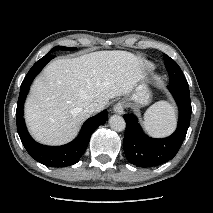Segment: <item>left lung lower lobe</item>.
Listing matches in <instances>:
<instances>
[{
	"label": "left lung lower lobe",
	"instance_id": "left-lung-lower-lobe-1",
	"mask_svg": "<svg viewBox=\"0 0 213 213\" xmlns=\"http://www.w3.org/2000/svg\"><path fill=\"white\" fill-rule=\"evenodd\" d=\"M179 108V120L176 131L169 137L154 139L145 135L133 114H125L127 127L123 140L125 156L131 164L138 167H152L172 159L180 149L191 118V100L189 89L168 86Z\"/></svg>",
	"mask_w": 213,
	"mask_h": 213
}]
</instances>
